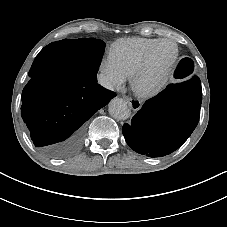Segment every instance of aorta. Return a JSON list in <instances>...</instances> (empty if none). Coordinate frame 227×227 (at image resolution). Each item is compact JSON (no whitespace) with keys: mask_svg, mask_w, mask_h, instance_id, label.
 <instances>
[{"mask_svg":"<svg viewBox=\"0 0 227 227\" xmlns=\"http://www.w3.org/2000/svg\"><path fill=\"white\" fill-rule=\"evenodd\" d=\"M110 115L118 120H126L130 116V109L127 102L120 98H114L108 105Z\"/></svg>","mask_w":227,"mask_h":227,"instance_id":"aorta-1","label":"aorta"}]
</instances>
